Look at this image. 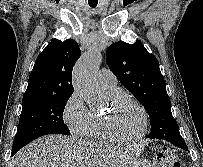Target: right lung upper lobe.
Returning a JSON list of instances; mask_svg holds the SVG:
<instances>
[{"label":"right lung upper lobe","instance_id":"right-lung-upper-lobe-1","mask_svg":"<svg viewBox=\"0 0 203 167\" xmlns=\"http://www.w3.org/2000/svg\"><path fill=\"white\" fill-rule=\"evenodd\" d=\"M80 55L74 40L53 39L37 57L22 101L71 96L74 91L72 69Z\"/></svg>","mask_w":203,"mask_h":167}]
</instances>
